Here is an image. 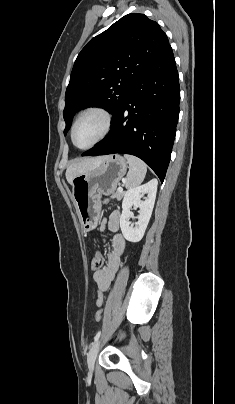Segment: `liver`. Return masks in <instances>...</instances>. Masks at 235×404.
I'll use <instances>...</instances> for the list:
<instances>
[{
    "label": "liver",
    "instance_id": "liver-1",
    "mask_svg": "<svg viewBox=\"0 0 235 404\" xmlns=\"http://www.w3.org/2000/svg\"><path fill=\"white\" fill-rule=\"evenodd\" d=\"M105 158L106 156L86 158L70 164L65 174L68 183L72 184V181L75 177L90 171L91 169L99 165Z\"/></svg>",
    "mask_w": 235,
    "mask_h": 404
}]
</instances>
